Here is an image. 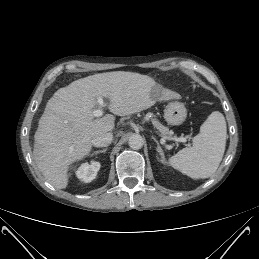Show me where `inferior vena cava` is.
<instances>
[{"instance_id": "obj_1", "label": "inferior vena cava", "mask_w": 259, "mask_h": 259, "mask_svg": "<svg viewBox=\"0 0 259 259\" xmlns=\"http://www.w3.org/2000/svg\"><path fill=\"white\" fill-rule=\"evenodd\" d=\"M113 139V134L110 132L102 133L92 140V144L95 147H107L111 144Z\"/></svg>"}]
</instances>
